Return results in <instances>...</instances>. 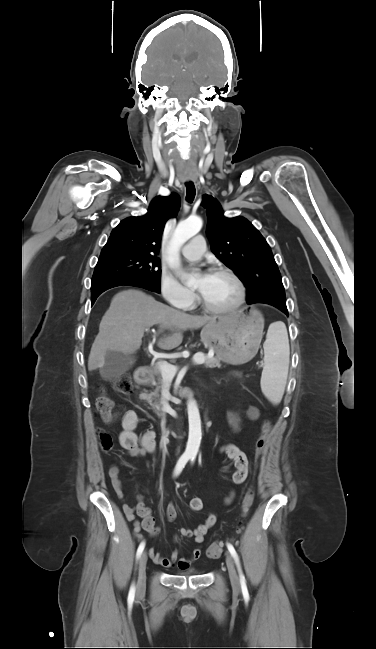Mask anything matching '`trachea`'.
Here are the masks:
<instances>
[{
  "label": "trachea",
  "instance_id": "3493384b",
  "mask_svg": "<svg viewBox=\"0 0 376 649\" xmlns=\"http://www.w3.org/2000/svg\"><path fill=\"white\" fill-rule=\"evenodd\" d=\"M195 195H196V189H195L194 184L192 182L187 183L186 184V200L189 203H191L194 200Z\"/></svg>",
  "mask_w": 376,
  "mask_h": 649
}]
</instances>
